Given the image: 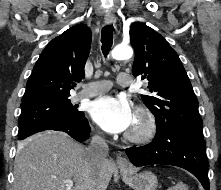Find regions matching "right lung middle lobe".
Wrapping results in <instances>:
<instances>
[{
  "label": "right lung middle lobe",
  "instance_id": "right-lung-middle-lobe-1",
  "mask_svg": "<svg viewBox=\"0 0 221 190\" xmlns=\"http://www.w3.org/2000/svg\"><path fill=\"white\" fill-rule=\"evenodd\" d=\"M21 108L18 137L47 127L69 126L84 117V113L78 111L68 98L42 101Z\"/></svg>",
  "mask_w": 221,
  "mask_h": 190
}]
</instances>
